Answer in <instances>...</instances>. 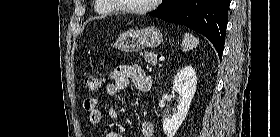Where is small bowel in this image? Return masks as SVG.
Returning a JSON list of instances; mask_svg holds the SVG:
<instances>
[{
    "label": "small bowel",
    "instance_id": "c3829d8e",
    "mask_svg": "<svg viewBox=\"0 0 280 137\" xmlns=\"http://www.w3.org/2000/svg\"><path fill=\"white\" fill-rule=\"evenodd\" d=\"M129 83L138 92H147L151 85L152 79L146 75L144 70L139 66H119L113 70L106 84L105 91L109 96H115L124 91ZM99 101L96 98H88L84 101V109L88 113V121L91 126H97L101 122V112L98 109ZM108 116L111 119L119 117V110L116 107H110ZM141 137H153L154 126L149 121H143L140 124ZM106 137H123L122 134L111 132Z\"/></svg>",
    "mask_w": 280,
    "mask_h": 137
}]
</instances>
